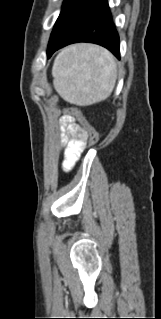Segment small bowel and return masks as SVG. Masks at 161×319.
Instances as JSON below:
<instances>
[{
	"mask_svg": "<svg viewBox=\"0 0 161 319\" xmlns=\"http://www.w3.org/2000/svg\"><path fill=\"white\" fill-rule=\"evenodd\" d=\"M59 123L62 129L61 144L64 146L63 169L69 171L84 148V130L71 114L61 116Z\"/></svg>",
	"mask_w": 161,
	"mask_h": 319,
	"instance_id": "small-bowel-1",
	"label": "small bowel"
}]
</instances>
